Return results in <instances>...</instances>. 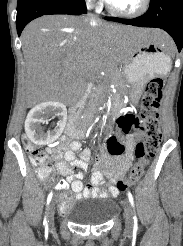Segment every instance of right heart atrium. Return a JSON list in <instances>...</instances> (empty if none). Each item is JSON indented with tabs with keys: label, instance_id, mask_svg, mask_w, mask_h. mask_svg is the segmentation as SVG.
I'll list each match as a JSON object with an SVG mask.
<instances>
[{
	"label": "right heart atrium",
	"instance_id": "d8ad5b80",
	"mask_svg": "<svg viewBox=\"0 0 183 246\" xmlns=\"http://www.w3.org/2000/svg\"><path fill=\"white\" fill-rule=\"evenodd\" d=\"M88 2H97L99 0H87Z\"/></svg>",
	"mask_w": 183,
	"mask_h": 246
}]
</instances>
